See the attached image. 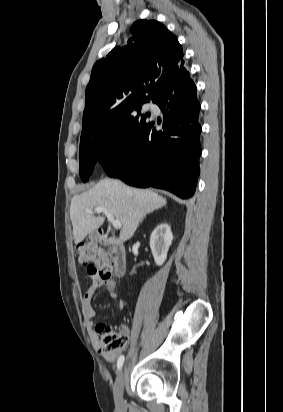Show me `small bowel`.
<instances>
[{"label":"small bowel","mask_w":283,"mask_h":412,"mask_svg":"<svg viewBox=\"0 0 283 412\" xmlns=\"http://www.w3.org/2000/svg\"><path fill=\"white\" fill-rule=\"evenodd\" d=\"M105 286L110 293V298L116 303L117 307L122 310L124 308V301L119 297L118 293L116 292V283L112 279H102L97 276H91V285L84 293L82 300H81V307L83 312V318L85 322L86 329L89 333V336L93 343L99 347V341L97 334L95 333L93 326H94V319L96 317V312L92 306V300L96 291ZM120 330L127 334L129 332V327L125 324L120 326ZM119 351L107 356L108 361L114 362L119 355Z\"/></svg>","instance_id":"c3829d8e"}]
</instances>
